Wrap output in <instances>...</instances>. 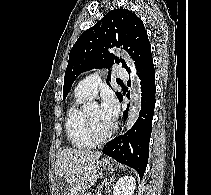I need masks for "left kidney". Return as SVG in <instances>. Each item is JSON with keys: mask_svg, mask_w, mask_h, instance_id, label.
I'll list each match as a JSON object with an SVG mask.
<instances>
[{"mask_svg": "<svg viewBox=\"0 0 211 195\" xmlns=\"http://www.w3.org/2000/svg\"><path fill=\"white\" fill-rule=\"evenodd\" d=\"M136 189V180L133 176L125 175L116 182L113 195H133Z\"/></svg>", "mask_w": 211, "mask_h": 195, "instance_id": "left-kidney-1", "label": "left kidney"}]
</instances>
